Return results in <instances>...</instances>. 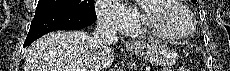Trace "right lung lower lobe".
I'll list each match as a JSON object with an SVG mask.
<instances>
[{"mask_svg": "<svg viewBox=\"0 0 230 71\" xmlns=\"http://www.w3.org/2000/svg\"><path fill=\"white\" fill-rule=\"evenodd\" d=\"M97 16H92L74 10H44L35 13L31 22L24 47L37 38L55 30H78L95 22Z\"/></svg>", "mask_w": 230, "mask_h": 71, "instance_id": "98d812e1", "label": "right lung lower lobe"}]
</instances>
